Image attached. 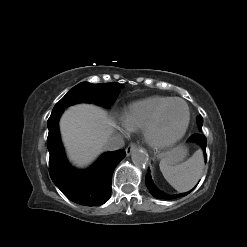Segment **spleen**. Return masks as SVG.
<instances>
[{
	"instance_id": "spleen-1",
	"label": "spleen",
	"mask_w": 247,
	"mask_h": 247,
	"mask_svg": "<svg viewBox=\"0 0 247 247\" xmlns=\"http://www.w3.org/2000/svg\"><path fill=\"white\" fill-rule=\"evenodd\" d=\"M203 169L204 160L200 150L179 165H173L167 157L160 161V170L164 178L178 192H185L193 188L202 176Z\"/></svg>"
}]
</instances>
